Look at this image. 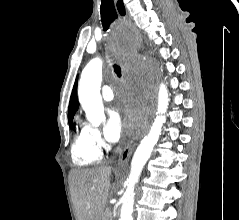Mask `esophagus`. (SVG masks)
<instances>
[{"instance_id": "obj_1", "label": "esophagus", "mask_w": 239, "mask_h": 220, "mask_svg": "<svg viewBox=\"0 0 239 220\" xmlns=\"http://www.w3.org/2000/svg\"><path fill=\"white\" fill-rule=\"evenodd\" d=\"M115 1V4L117 6V10L119 12L120 15H126L127 14V11L123 5V0H114ZM149 126V122L148 120L146 121L145 123V131L146 129L148 128ZM132 151H133V141H127L122 149V152L120 153L119 155V159H118V162H117V167L118 168H121L123 167L127 161L129 160L131 154H132Z\"/></svg>"}]
</instances>
